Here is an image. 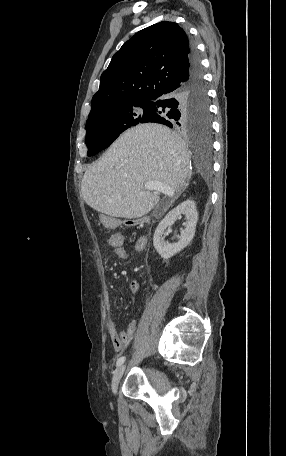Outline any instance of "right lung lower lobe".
I'll return each mask as SVG.
<instances>
[{"instance_id": "1", "label": "right lung lower lobe", "mask_w": 286, "mask_h": 456, "mask_svg": "<svg viewBox=\"0 0 286 456\" xmlns=\"http://www.w3.org/2000/svg\"><path fill=\"white\" fill-rule=\"evenodd\" d=\"M150 101L154 112L147 122L193 131L196 125L203 127L206 121L210 120L207 90L194 47L186 78L176 86L154 96ZM201 132L209 134L203 130Z\"/></svg>"}]
</instances>
